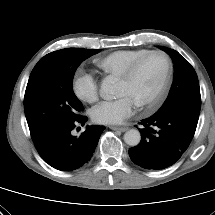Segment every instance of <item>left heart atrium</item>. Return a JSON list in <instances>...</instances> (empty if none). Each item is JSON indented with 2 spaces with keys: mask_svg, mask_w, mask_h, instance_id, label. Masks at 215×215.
<instances>
[{
  "mask_svg": "<svg viewBox=\"0 0 215 215\" xmlns=\"http://www.w3.org/2000/svg\"><path fill=\"white\" fill-rule=\"evenodd\" d=\"M136 102L127 94L115 100L103 101L92 110V119L98 124L115 125L130 117L136 108Z\"/></svg>",
  "mask_w": 215,
  "mask_h": 215,
  "instance_id": "1",
  "label": "left heart atrium"
}]
</instances>
